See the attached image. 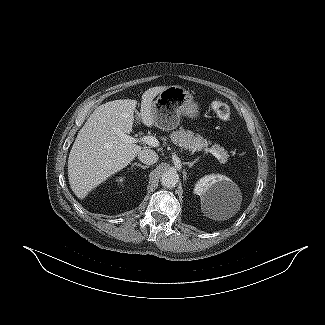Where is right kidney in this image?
Returning a JSON list of instances; mask_svg holds the SVG:
<instances>
[{
	"label": "right kidney",
	"mask_w": 325,
	"mask_h": 325,
	"mask_svg": "<svg viewBox=\"0 0 325 325\" xmlns=\"http://www.w3.org/2000/svg\"><path fill=\"white\" fill-rule=\"evenodd\" d=\"M124 181H125V177H118V178L116 179V182H117L118 184H123Z\"/></svg>",
	"instance_id": "obj_1"
}]
</instances>
